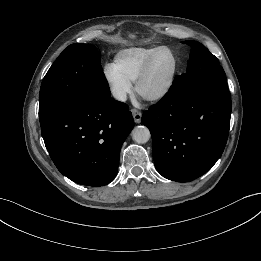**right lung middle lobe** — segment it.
Segmentation results:
<instances>
[{
	"label": "right lung middle lobe",
	"instance_id": "obj_1",
	"mask_svg": "<svg viewBox=\"0 0 261 261\" xmlns=\"http://www.w3.org/2000/svg\"><path fill=\"white\" fill-rule=\"evenodd\" d=\"M86 97L109 98L100 53L88 44L69 45L45 75L40 88L39 119Z\"/></svg>",
	"mask_w": 261,
	"mask_h": 261
}]
</instances>
